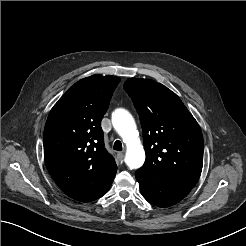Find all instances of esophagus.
I'll return each instance as SVG.
<instances>
[{"label": "esophagus", "instance_id": "esophagus-1", "mask_svg": "<svg viewBox=\"0 0 246 246\" xmlns=\"http://www.w3.org/2000/svg\"><path fill=\"white\" fill-rule=\"evenodd\" d=\"M123 158H124V154L122 152L117 153V160L118 161L122 162Z\"/></svg>", "mask_w": 246, "mask_h": 246}]
</instances>
